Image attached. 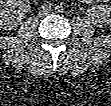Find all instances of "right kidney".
Masks as SVG:
<instances>
[{
    "instance_id": "1",
    "label": "right kidney",
    "mask_w": 111,
    "mask_h": 106,
    "mask_svg": "<svg viewBox=\"0 0 111 106\" xmlns=\"http://www.w3.org/2000/svg\"><path fill=\"white\" fill-rule=\"evenodd\" d=\"M1 27L11 29L19 25L22 16L30 8L28 1L2 0L1 1Z\"/></svg>"
}]
</instances>
